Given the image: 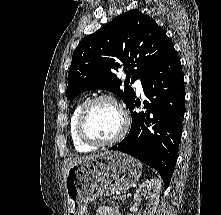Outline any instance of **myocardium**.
<instances>
[{"label":"myocardium","mask_w":221,"mask_h":215,"mask_svg":"<svg viewBox=\"0 0 221 215\" xmlns=\"http://www.w3.org/2000/svg\"><path fill=\"white\" fill-rule=\"evenodd\" d=\"M102 101H108L114 104L122 117V126L119 132L114 137L107 139V140H99L97 138H94L86 130V120H87V116H88L90 109L96 103H99ZM129 125H130V121H129V117H128L126 110L120 104V102L111 95H99L84 102L78 112L77 119H76V131H77L78 137L80 138L82 142L93 147H104V146H109V145L117 143L126 135L129 129Z\"/></svg>","instance_id":"1"}]
</instances>
